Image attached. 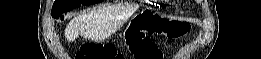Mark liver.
Instances as JSON below:
<instances>
[{
  "mask_svg": "<svg viewBox=\"0 0 261 59\" xmlns=\"http://www.w3.org/2000/svg\"><path fill=\"white\" fill-rule=\"evenodd\" d=\"M126 18L110 7L101 6L74 17L65 28L69 42L79 35L95 41H103L114 34Z\"/></svg>",
  "mask_w": 261,
  "mask_h": 59,
  "instance_id": "1",
  "label": "liver"
}]
</instances>
